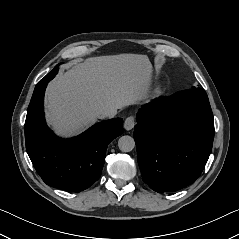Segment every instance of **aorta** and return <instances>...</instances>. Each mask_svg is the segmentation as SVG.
Returning a JSON list of instances; mask_svg holds the SVG:
<instances>
[{
  "label": "aorta",
  "mask_w": 239,
  "mask_h": 239,
  "mask_svg": "<svg viewBox=\"0 0 239 239\" xmlns=\"http://www.w3.org/2000/svg\"><path fill=\"white\" fill-rule=\"evenodd\" d=\"M118 147L122 152H130L135 147V141L131 136L124 135L119 138Z\"/></svg>",
  "instance_id": "762f6f07"
}]
</instances>
